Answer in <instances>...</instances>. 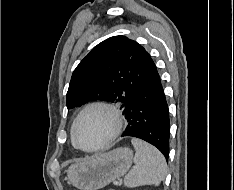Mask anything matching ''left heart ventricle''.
<instances>
[{
  "label": "left heart ventricle",
  "instance_id": "1",
  "mask_svg": "<svg viewBox=\"0 0 234 190\" xmlns=\"http://www.w3.org/2000/svg\"><path fill=\"white\" fill-rule=\"evenodd\" d=\"M112 129L113 122L109 115L101 110H93L81 119L77 140L83 147L91 148L106 140Z\"/></svg>",
  "mask_w": 234,
  "mask_h": 190
}]
</instances>
